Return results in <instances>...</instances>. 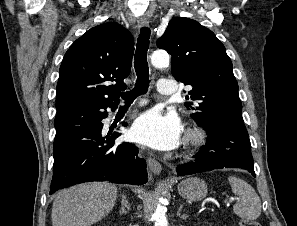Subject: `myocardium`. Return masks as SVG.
<instances>
[{
	"instance_id": "myocardium-1",
	"label": "myocardium",
	"mask_w": 297,
	"mask_h": 226,
	"mask_svg": "<svg viewBox=\"0 0 297 226\" xmlns=\"http://www.w3.org/2000/svg\"><path fill=\"white\" fill-rule=\"evenodd\" d=\"M207 141V135L199 127H190L185 133V153L187 156L194 155Z\"/></svg>"
}]
</instances>
